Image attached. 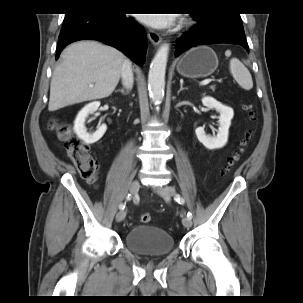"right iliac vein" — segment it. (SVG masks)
Listing matches in <instances>:
<instances>
[{"instance_id": "1", "label": "right iliac vein", "mask_w": 303, "mask_h": 303, "mask_svg": "<svg viewBox=\"0 0 303 303\" xmlns=\"http://www.w3.org/2000/svg\"><path fill=\"white\" fill-rule=\"evenodd\" d=\"M140 188V183L138 180H133L131 183H130V186H129V191L132 195H136L138 190ZM126 216V211H120L117 215H116V221L117 222H121L122 220H124Z\"/></svg>"}]
</instances>
